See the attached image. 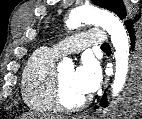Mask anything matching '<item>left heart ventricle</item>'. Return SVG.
Segmentation results:
<instances>
[{
	"mask_svg": "<svg viewBox=\"0 0 142 119\" xmlns=\"http://www.w3.org/2000/svg\"><path fill=\"white\" fill-rule=\"evenodd\" d=\"M61 85H62V98L65 104L74 105L86 96L80 93L73 82V68H66L60 73Z\"/></svg>",
	"mask_w": 142,
	"mask_h": 119,
	"instance_id": "b2bd125f",
	"label": "left heart ventricle"
}]
</instances>
